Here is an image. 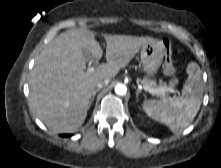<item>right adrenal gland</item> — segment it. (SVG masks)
Instances as JSON below:
<instances>
[{
	"instance_id": "obj_1",
	"label": "right adrenal gland",
	"mask_w": 221,
	"mask_h": 168,
	"mask_svg": "<svg viewBox=\"0 0 221 168\" xmlns=\"http://www.w3.org/2000/svg\"><path fill=\"white\" fill-rule=\"evenodd\" d=\"M99 91V89H97L96 91H95V93L93 94V96H92V98H91V100H90V103H89V105L91 106V104L93 103V101H94V99H95V95H96V93Z\"/></svg>"
}]
</instances>
